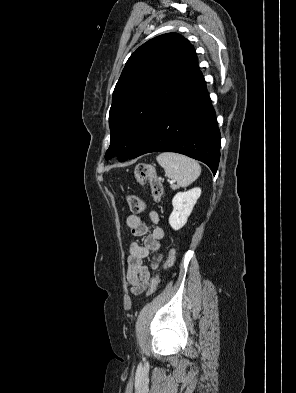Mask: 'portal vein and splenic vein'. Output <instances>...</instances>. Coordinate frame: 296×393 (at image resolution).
<instances>
[{
  "mask_svg": "<svg viewBox=\"0 0 296 393\" xmlns=\"http://www.w3.org/2000/svg\"><path fill=\"white\" fill-rule=\"evenodd\" d=\"M173 183H174V181H173V180H171V181H170V184H173Z\"/></svg>",
  "mask_w": 296,
  "mask_h": 393,
  "instance_id": "1",
  "label": "portal vein and splenic vein"
}]
</instances>
